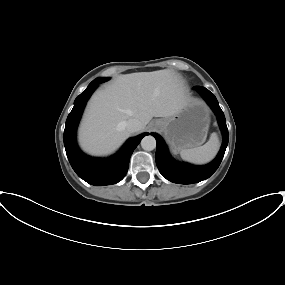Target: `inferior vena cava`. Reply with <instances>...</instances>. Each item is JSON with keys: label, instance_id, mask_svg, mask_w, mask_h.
Listing matches in <instances>:
<instances>
[{"label": "inferior vena cava", "instance_id": "inferior-vena-cava-1", "mask_svg": "<svg viewBox=\"0 0 285 285\" xmlns=\"http://www.w3.org/2000/svg\"><path fill=\"white\" fill-rule=\"evenodd\" d=\"M126 129L130 133L138 132L141 129V123L138 119H129L126 122Z\"/></svg>", "mask_w": 285, "mask_h": 285}]
</instances>
